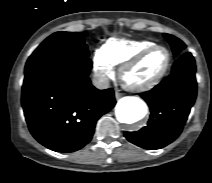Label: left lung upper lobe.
I'll return each instance as SVG.
<instances>
[{
    "label": "left lung upper lobe",
    "instance_id": "left-lung-upper-lobe-1",
    "mask_svg": "<svg viewBox=\"0 0 212 183\" xmlns=\"http://www.w3.org/2000/svg\"><path fill=\"white\" fill-rule=\"evenodd\" d=\"M163 35L167 39V41L170 43L175 57H179L180 55L184 53V49L186 48V45L180 39L166 33H164Z\"/></svg>",
    "mask_w": 212,
    "mask_h": 183
}]
</instances>
